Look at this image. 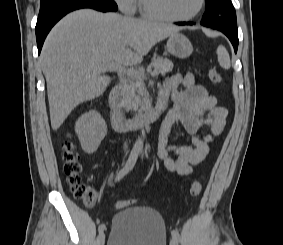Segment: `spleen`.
<instances>
[{
    "label": "spleen",
    "mask_w": 283,
    "mask_h": 245,
    "mask_svg": "<svg viewBox=\"0 0 283 245\" xmlns=\"http://www.w3.org/2000/svg\"><path fill=\"white\" fill-rule=\"evenodd\" d=\"M218 62L220 66L224 69H230V56L226 50V48L222 45H219L217 48Z\"/></svg>",
    "instance_id": "1"
}]
</instances>
